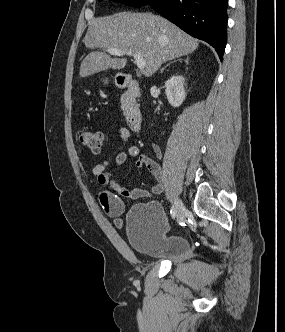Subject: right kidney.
I'll return each mask as SVG.
<instances>
[{"label": "right kidney", "mask_w": 285, "mask_h": 332, "mask_svg": "<svg viewBox=\"0 0 285 332\" xmlns=\"http://www.w3.org/2000/svg\"><path fill=\"white\" fill-rule=\"evenodd\" d=\"M165 94L173 107H179L185 100L184 77L173 75L165 82Z\"/></svg>", "instance_id": "ca27d5eb"}]
</instances>
